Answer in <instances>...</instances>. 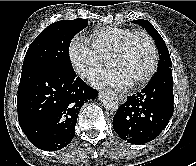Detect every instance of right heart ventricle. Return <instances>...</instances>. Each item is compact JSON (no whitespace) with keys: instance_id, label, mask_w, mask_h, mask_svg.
I'll return each instance as SVG.
<instances>
[{"instance_id":"obj_1","label":"right heart ventricle","mask_w":196,"mask_h":166,"mask_svg":"<svg viewBox=\"0 0 196 166\" xmlns=\"http://www.w3.org/2000/svg\"><path fill=\"white\" fill-rule=\"evenodd\" d=\"M133 31L132 29L114 26L104 27L94 31L89 41L104 57L110 59L124 38Z\"/></svg>"}]
</instances>
